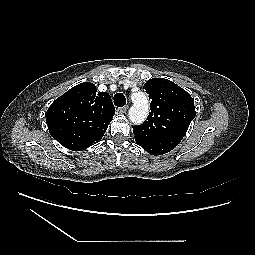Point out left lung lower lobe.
<instances>
[{"instance_id":"1","label":"left lung lower lobe","mask_w":255,"mask_h":255,"mask_svg":"<svg viewBox=\"0 0 255 255\" xmlns=\"http://www.w3.org/2000/svg\"><path fill=\"white\" fill-rule=\"evenodd\" d=\"M136 143L151 155H162L174 149L181 140L173 138L142 139L136 138Z\"/></svg>"}]
</instances>
